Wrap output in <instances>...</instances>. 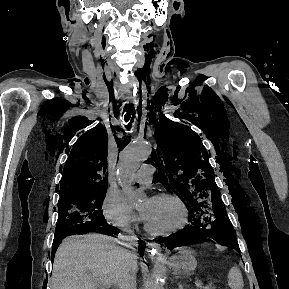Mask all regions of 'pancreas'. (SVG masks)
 Masks as SVG:
<instances>
[{
  "label": "pancreas",
  "instance_id": "cf45deb5",
  "mask_svg": "<svg viewBox=\"0 0 289 289\" xmlns=\"http://www.w3.org/2000/svg\"><path fill=\"white\" fill-rule=\"evenodd\" d=\"M203 289H215V288L213 286L209 285V286L203 287Z\"/></svg>",
  "mask_w": 289,
  "mask_h": 289
}]
</instances>
